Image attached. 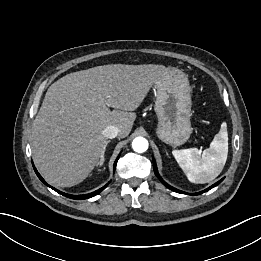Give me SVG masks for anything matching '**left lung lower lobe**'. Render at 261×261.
Listing matches in <instances>:
<instances>
[{
	"label": "left lung lower lobe",
	"instance_id": "0a47b994",
	"mask_svg": "<svg viewBox=\"0 0 261 261\" xmlns=\"http://www.w3.org/2000/svg\"><path fill=\"white\" fill-rule=\"evenodd\" d=\"M152 159H153L154 172H155L156 176L159 178V180H160L166 187H168L169 189H171V190H173V191H175V192H177V193H184V192H182V191H180V190H178V189H175V188L171 187L170 185H168L166 182L163 181V179L160 177V175H159V173H158V171H157V167H156L155 160H154V158H152ZM223 179H224V178H222L221 180H219L218 182H216L215 184H213L212 186H210L209 188H207V189H205V190H203V191H201V192L191 193L190 195H199V194H202V193H204V192H206V191H209V190L212 189L213 187H215V186H217L218 184H220V183L223 181ZM185 194H186V193H185Z\"/></svg>",
	"mask_w": 261,
	"mask_h": 261
}]
</instances>
